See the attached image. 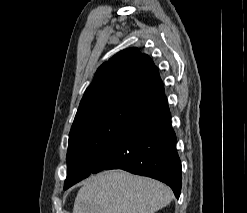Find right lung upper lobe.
<instances>
[{
  "label": "right lung upper lobe",
  "instance_id": "cb5924a9",
  "mask_svg": "<svg viewBox=\"0 0 247 213\" xmlns=\"http://www.w3.org/2000/svg\"><path fill=\"white\" fill-rule=\"evenodd\" d=\"M153 61L138 48L120 51L97 70L76 113V127L100 112L125 102L152 95L163 89Z\"/></svg>",
  "mask_w": 247,
  "mask_h": 213
}]
</instances>
